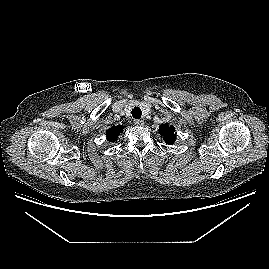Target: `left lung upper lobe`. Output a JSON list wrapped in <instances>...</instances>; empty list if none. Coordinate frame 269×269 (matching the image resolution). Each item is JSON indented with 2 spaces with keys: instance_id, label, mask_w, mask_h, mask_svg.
<instances>
[{
  "instance_id": "obj_1",
  "label": "left lung upper lobe",
  "mask_w": 269,
  "mask_h": 269,
  "mask_svg": "<svg viewBox=\"0 0 269 269\" xmlns=\"http://www.w3.org/2000/svg\"><path fill=\"white\" fill-rule=\"evenodd\" d=\"M160 135L163 136V139L166 144L171 145L176 139L175 128L173 126H168L166 124H161L159 128Z\"/></svg>"
}]
</instances>
